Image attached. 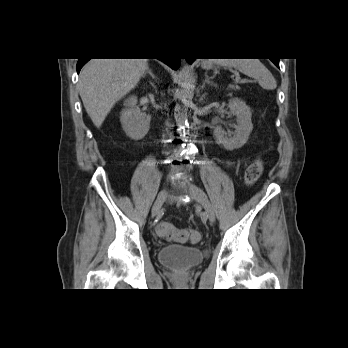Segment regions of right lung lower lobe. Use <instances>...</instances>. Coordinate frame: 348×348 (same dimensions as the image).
<instances>
[{
  "label": "right lung lower lobe",
  "mask_w": 348,
  "mask_h": 348,
  "mask_svg": "<svg viewBox=\"0 0 348 348\" xmlns=\"http://www.w3.org/2000/svg\"><path fill=\"white\" fill-rule=\"evenodd\" d=\"M89 59H79L78 63H77V72H80V69L84 66V64L88 61ZM161 61H163L164 63H166L168 66H170L171 68L177 70L180 66V59L179 58H169V59H159Z\"/></svg>",
  "instance_id": "obj_1"
}]
</instances>
